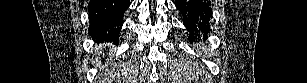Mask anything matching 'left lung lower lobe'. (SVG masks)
Listing matches in <instances>:
<instances>
[{
    "label": "left lung lower lobe",
    "instance_id": "0a47b994",
    "mask_svg": "<svg viewBox=\"0 0 307 83\" xmlns=\"http://www.w3.org/2000/svg\"><path fill=\"white\" fill-rule=\"evenodd\" d=\"M176 8L183 16V23L193 36H203L210 31L211 2L208 0H175Z\"/></svg>",
    "mask_w": 307,
    "mask_h": 83
}]
</instances>
